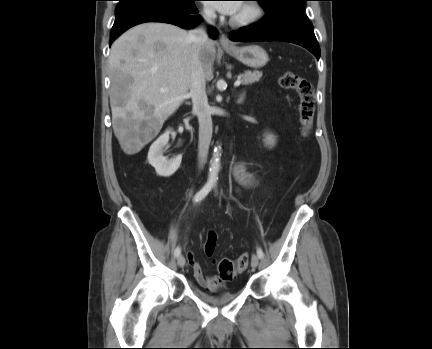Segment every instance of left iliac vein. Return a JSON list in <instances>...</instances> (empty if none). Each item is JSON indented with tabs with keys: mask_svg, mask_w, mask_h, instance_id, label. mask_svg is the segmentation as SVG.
Listing matches in <instances>:
<instances>
[{
	"mask_svg": "<svg viewBox=\"0 0 432 349\" xmlns=\"http://www.w3.org/2000/svg\"><path fill=\"white\" fill-rule=\"evenodd\" d=\"M258 264H259V257L256 254L252 255L251 266L253 268H256Z\"/></svg>",
	"mask_w": 432,
	"mask_h": 349,
	"instance_id": "obj_1",
	"label": "left iliac vein"
}]
</instances>
